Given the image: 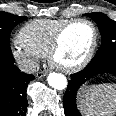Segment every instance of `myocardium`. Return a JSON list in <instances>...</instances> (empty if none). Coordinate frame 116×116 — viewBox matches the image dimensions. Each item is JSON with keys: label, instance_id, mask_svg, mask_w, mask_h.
Returning <instances> with one entry per match:
<instances>
[{"label": "myocardium", "instance_id": "myocardium-1", "mask_svg": "<svg viewBox=\"0 0 116 116\" xmlns=\"http://www.w3.org/2000/svg\"><path fill=\"white\" fill-rule=\"evenodd\" d=\"M77 23H85L91 27L92 43L90 45V48L87 51L84 58L81 61H79L78 63L71 65V66L60 65L56 62V55L59 51L62 37H63L64 33L66 32V30L70 26L77 24ZM97 46H98V30H97L96 25L91 20L85 19V18L71 19V20H68L67 22H65L55 33L52 43L50 45V48L48 50L47 58H48L50 65L52 67H54L55 69H57L63 73H73V72H77V71L83 69L90 63V61L92 60V58L95 54Z\"/></svg>", "mask_w": 116, "mask_h": 116}]
</instances>
